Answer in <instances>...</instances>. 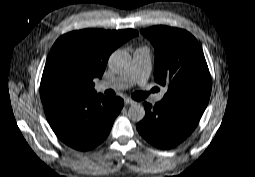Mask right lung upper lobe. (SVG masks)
<instances>
[{
	"instance_id": "cb5924a9",
	"label": "right lung upper lobe",
	"mask_w": 255,
	"mask_h": 177,
	"mask_svg": "<svg viewBox=\"0 0 255 177\" xmlns=\"http://www.w3.org/2000/svg\"><path fill=\"white\" fill-rule=\"evenodd\" d=\"M137 35L138 32L133 29H85L62 35L47 57L40 93L53 79L67 74L78 80L79 97L92 94L95 92L93 79L102 77L110 54Z\"/></svg>"
}]
</instances>
